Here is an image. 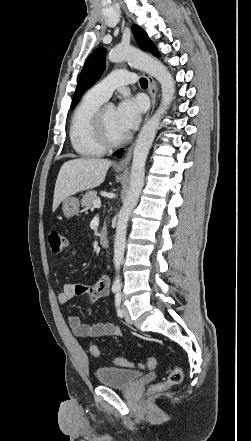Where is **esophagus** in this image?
Masks as SVG:
<instances>
[{"instance_id":"34e87169","label":"esophagus","mask_w":251,"mask_h":441,"mask_svg":"<svg viewBox=\"0 0 251 441\" xmlns=\"http://www.w3.org/2000/svg\"><path fill=\"white\" fill-rule=\"evenodd\" d=\"M148 79V93L151 99V106L146 114L145 120H148L151 114L154 111L155 103H156V96L154 93V89L156 87L155 80L149 75L145 74ZM132 151H133V144L127 149L125 156L115 165L118 169H126L130 163L131 157H132Z\"/></svg>"}]
</instances>
